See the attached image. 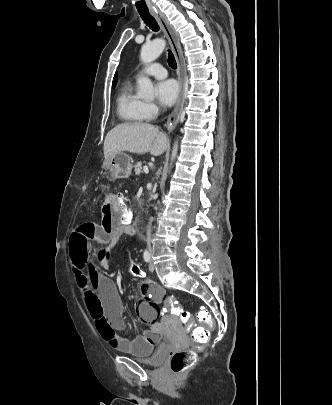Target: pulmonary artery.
I'll return each mask as SVG.
<instances>
[{
  "mask_svg": "<svg viewBox=\"0 0 332 405\" xmlns=\"http://www.w3.org/2000/svg\"><path fill=\"white\" fill-rule=\"evenodd\" d=\"M142 74L150 75L156 78H164L167 75V71L162 65L155 63L146 67L143 71L138 72L137 76Z\"/></svg>",
  "mask_w": 332,
  "mask_h": 405,
  "instance_id": "pulmonary-artery-1",
  "label": "pulmonary artery"
}]
</instances>
